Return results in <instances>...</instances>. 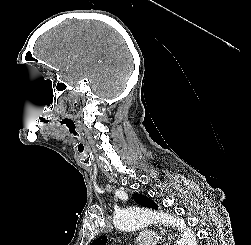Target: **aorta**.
Returning a JSON list of instances; mask_svg holds the SVG:
<instances>
[{
    "label": "aorta",
    "mask_w": 251,
    "mask_h": 245,
    "mask_svg": "<svg viewBox=\"0 0 251 245\" xmlns=\"http://www.w3.org/2000/svg\"><path fill=\"white\" fill-rule=\"evenodd\" d=\"M154 219H160L162 222L178 227L181 230V236L175 245H197L195 233L186 226L182 219L163 213H156L150 209L134 206L119 210L114 216L113 223L119 230L134 231L149 225Z\"/></svg>",
    "instance_id": "aorta-1"
}]
</instances>
